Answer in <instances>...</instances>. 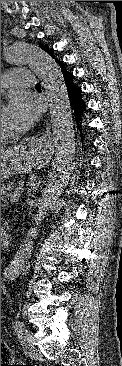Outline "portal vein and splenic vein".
<instances>
[{
    "label": "portal vein and splenic vein",
    "mask_w": 122,
    "mask_h": 366,
    "mask_svg": "<svg viewBox=\"0 0 122 366\" xmlns=\"http://www.w3.org/2000/svg\"><path fill=\"white\" fill-rule=\"evenodd\" d=\"M18 197H20V190L14 191L13 195L10 196V202H14Z\"/></svg>",
    "instance_id": "obj_1"
}]
</instances>
